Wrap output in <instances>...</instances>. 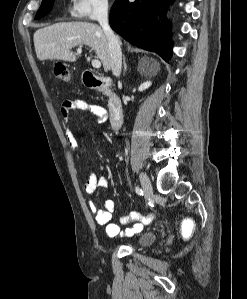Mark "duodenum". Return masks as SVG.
<instances>
[{
	"label": "duodenum",
	"mask_w": 247,
	"mask_h": 299,
	"mask_svg": "<svg viewBox=\"0 0 247 299\" xmlns=\"http://www.w3.org/2000/svg\"><path fill=\"white\" fill-rule=\"evenodd\" d=\"M84 83L91 89H106L110 86L111 80L107 77L98 76L91 71H86L83 76ZM109 120L111 127L116 129L123 122V106L120 98L111 95L108 100Z\"/></svg>",
	"instance_id": "duodenum-1"
}]
</instances>
